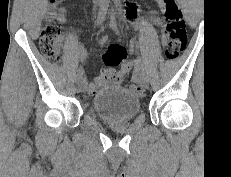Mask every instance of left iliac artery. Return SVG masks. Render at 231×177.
Instances as JSON below:
<instances>
[{"label":"left iliac artery","mask_w":231,"mask_h":177,"mask_svg":"<svg viewBox=\"0 0 231 177\" xmlns=\"http://www.w3.org/2000/svg\"><path fill=\"white\" fill-rule=\"evenodd\" d=\"M116 9L119 11L120 15L122 17L124 16L123 10L121 9L120 5L118 4V2L116 1ZM138 67H139V71H141L142 73L146 72V66H145V62H138Z\"/></svg>","instance_id":"44dca946"}]
</instances>
